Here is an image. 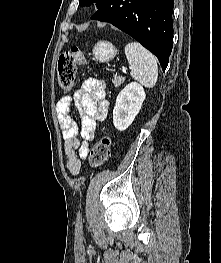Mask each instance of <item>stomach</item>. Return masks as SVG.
I'll return each instance as SVG.
<instances>
[{
    "mask_svg": "<svg viewBox=\"0 0 221 263\" xmlns=\"http://www.w3.org/2000/svg\"><path fill=\"white\" fill-rule=\"evenodd\" d=\"M117 51L112 43L107 41H99L93 48L94 59L104 63L114 58Z\"/></svg>",
    "mask_w": 221,
    "mask_h": 263,
    "instance_id": "stomach-1",
    "label": "stomach"
}]
</instances>
